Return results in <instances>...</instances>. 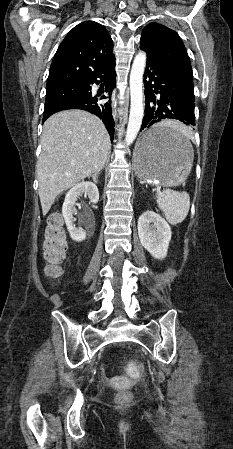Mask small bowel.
<instances>
[{"instance_id": "small-bowel-1", "label": "small bowel", "mask_w": 233, "mask_h": 449, "mask_svg": "<svg viewBox=\"0 0 233 449\" xmlns=\"http://www.w3.org/2000/svg\"><path fill=\"white\" fill-rule=\"evenodd\" d=\"M126 368L130 372H139L141 370V365L139 363H130Z\"/></svg>"}]
</instances>
